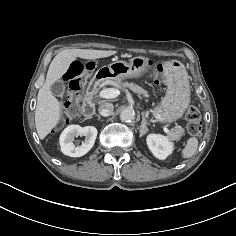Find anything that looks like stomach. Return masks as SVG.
Listing matches in <instances>:
<instances>
[{
  "mask_svg": "<svg viewBox=\"0 0 236 236\" xmlns=\"http://www.w3.org/2000/svg\"><path fill=\"white\" fill-rule=\"evenodd\" d=\"M149 70V59L143 56L131 58L129 62L116 60L108 66L101 67L94 78L98 81L120 83L124 79L139 78ZM166 84L165 97L152 109L157 122L171 123L181 118L187 109L190 97L187 75L183 65L178 60L165 63Z\"/></svg>",
  "mask_w": 236,
  "mask_h": 236,
  "instance_id": "0dacf381",
  "label": "stomach"
}]
</instances>
